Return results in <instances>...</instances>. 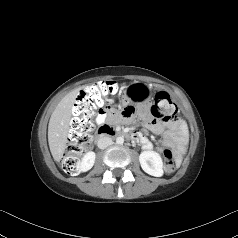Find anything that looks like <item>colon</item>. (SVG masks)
Wrapping results in <instances>:
<instances>
[{"label": "colon", "mask_w": 238, "mask_h": 238, "mask_svg": "<svg viewBox=\"0 0 238 238\" xmlns=\"http://www.w3.org/2000/svg\"><path fill=\"white\" fill-rule=\"evenodd\" d=\"M117 89L114 82L101 81L87 86L78 94L73 107L66 151L61 161L62 168L66 173L71 175L77 173L80 158L91 142L92 132L95 128L92 118L100 112L99 109L105 105L110 95L117 92ZM177 112V106L167 93L158 92L154 96V102L150 108V114L154 118L166 121L175 120ZM133 113L132 106H127L123 110L125 117H130ZM163 155L166 170L173 171L176 167L173 151L165 149Z\"/></svg>", "instance_id": "colon-1"}]
</instances>
